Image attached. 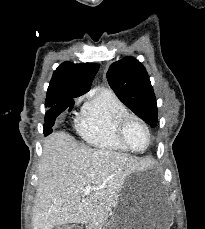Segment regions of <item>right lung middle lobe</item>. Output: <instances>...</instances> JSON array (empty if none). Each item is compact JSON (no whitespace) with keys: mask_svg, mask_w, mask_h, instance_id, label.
<instances>
[{"mask_svg":"<svg viewBox=\"0 0 205 229\" xmlns=\"http://www.w3.org/2000/svg\"><path fill=\"white\" fill-rule=\"evenodd\" d=\"M51 106H53V105H50V106H46V107H51Z\"/></svg>","mask_w":205,"mask_h":229,"instance_id":"obj_1","label":"right lung middle lobe"}]
</instances>
